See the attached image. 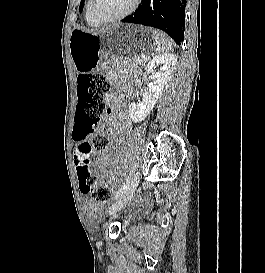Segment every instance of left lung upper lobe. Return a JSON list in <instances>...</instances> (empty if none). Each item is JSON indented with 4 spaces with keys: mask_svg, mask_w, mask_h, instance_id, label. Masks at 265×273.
<instances>
[{
    "mask_svg": "<svg viewBox=\"0 0 265 273\" xmlns=\"http://www.w3.org/2000/svg\"><path fill=\"white\" fill-rule=\"evenodd\" d=\"M84 1H85V0H81L80 7H79V11H80V12H81L82 9H83Z\"/></svg>",
    "mask_w": 265,
    "mask_h": 273,
    "instance_id": "1",
    "label": "left lung upper lobe"
}]
</instances>
